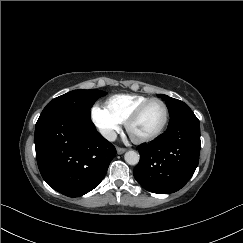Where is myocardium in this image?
<instances>
[{"label":"myocardium","mask_w":243,"mask_h":243,"mask_svg":"<svg viewBox=\"0 0 243 243\" xmlns=\"http://www.w3.org/2000/svg\"><path fill=\"white\" fill-rule=\"evenodd\" d=\"M155 102H159L163 105L164 107V119L163 122L161 124V126L159 127V129L157 131H155L153 134L147 136V137H143V138H136L134 136H132L130 129L133 123H135L142 115V113L144 112V110L152 103ZM169 116H170V111H169V107L168 104L160 98H152L146 102H144L143 104H141L138 108H136L131 114L130 116L127 118L126 122H125V128L126 131L128 133V135L130 136V138L138 144H144V143H148L151 142L153 140H155L156 138H158L166 129L168 121H169Z\"/></svg>","instance_id":"f54148a6"}]
</instances>
